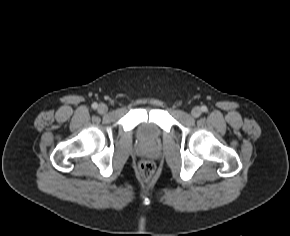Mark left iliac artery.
Wrapping results in <instances>:
<instances>
[{"mask_svg": "<svg viewBox=\"0 0 290 236\" xmlns=\"http://www.w3.org/2000/svg\"><path fill=\"white\" fill-rule=\"evenodd\" d=\"M201 110H202L203 112H207L208 108H207L206 106H202V107H201Z\"/></svg>", "mask_w": 290, "mask_h": 236, "instance_id": "obj_1", "label": "left iliac artery"}]
</instances>
